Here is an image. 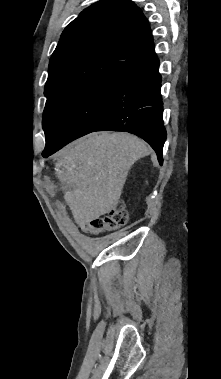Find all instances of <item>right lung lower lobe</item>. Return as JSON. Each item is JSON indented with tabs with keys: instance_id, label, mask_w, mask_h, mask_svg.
<instances>
[{
	"instance_id": "right-lung-lower-lobe-1",
	"label": "right lung lower lobe",
	"mask_w": 221,
	"mask_h": 379,
	"mask_svg": "<svg viewBox=\"0 0 221 379\" xmlns=\"http://www.w3.org/2000/svg\"><path fill=\"white\" fill-rule=\"evenodd\" d=\"M159 59L145 63L121 77L115 100L94 131H127L143 138L155 150L162 165L166 130L163 125V102L160 94ZM72 140L55 141L45 148L47 158Z\"/></svg>"
}]
</instances>
